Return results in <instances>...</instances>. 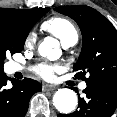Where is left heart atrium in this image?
Returning a JSON list of instances; mask_svg holds the SVG:
<instances>
[{"label":"left heart atrium","mask_w":117,"mask_h":117,"mask_svg":"<svg viewBox=\"0 0 117 117\" xmlns=\"http://www.w3.org/2000/svg\"><path fill=\"white\" fill-rule=\"evenodd\" d=\"M60 68L61 67L58 64L42 62L34 67V72L45 80H51Z\"/></svg>","instance_id":"39dd6f15"}]
</instances>
